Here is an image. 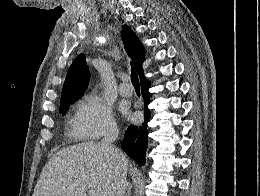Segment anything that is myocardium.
<instances>
[{"mask_svg":"<svg viewBox=\"0 0 260 196\" xmlns=\"http://www.w3.org/2000/svg\"><path fill=\"white\" fill-rule=\"evenodd\" d=\"M50 192H55V190H51Z\"/></svg>","mask_w":260,"mask_h":196,"instance_id":"myocardium-1","label":"myocardium"}]
</instances>
